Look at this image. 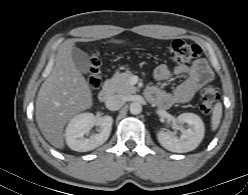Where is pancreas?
I'll return each mask as SVG.
<instances>
[{
  "label": "pancreas",
  "mask_w": 248,
  "mask_h": 195,
  "mask_svg": "<svg viewBox=\"0 0 248 195\" xmlns=\"http://www.w3.org/2000/svg\"><path fill=\"white\" fill-rule=\"evenodd\" d=\"M132 76L133 74L130 71L118 73L105 82V88L111 93L133 94L137 91V88L130 83Z\"/></svg>",
  "instance_id": "1"
}]
</instances>
